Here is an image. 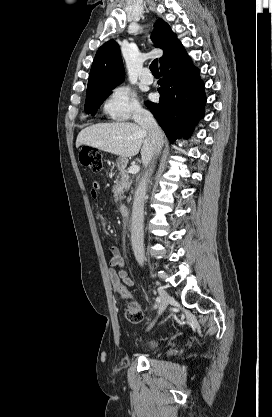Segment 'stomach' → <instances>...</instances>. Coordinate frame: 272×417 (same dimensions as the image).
I'll return each instance as SVG.
<instances>
[{
  "mask_svg": "<svg viewBox=\"0 0 272 417\" xmlns=\"http://www.w3.org/2000/svg\"><path fill=\"white\" fill-rule=\"evenodd\" d=\"M127 158H125V157H119L118 159H117V161H116V163H117V167L119 168V169H123V168H125V166L127 165Z\"/></svg>",
  "mask_w": 272,
  "mask_h": 417,
  "instance_id": "1",
  "label": "stomach"
}]
</instances>
